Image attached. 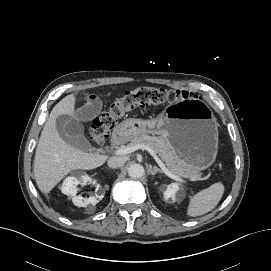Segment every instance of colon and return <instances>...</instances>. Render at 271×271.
<instances>
[{"label": "colon", "mask_w": 271, "mask_h": 271, "mask_svg": "<svg viewBox=\"0 0 271 271\" xmlns=\"http://www.w3.org/2000/svg\"><path fill=\"white\" fill-rule=\"evenodd\" d=\"M181 95L182 93L179 91L152 87H141L129 91L124 97L116 100L104 113L94 118L90 130L91 140L98 144L102 143L108 137L109 130L115 122L133 109L172 102Z\"/></svg>", "instance_id": "5ec220e1"}]
</instances>
